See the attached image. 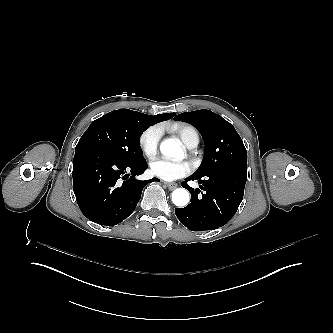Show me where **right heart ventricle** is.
Segmentation results:
<instances>
[{
	"label": "right heart ventricle",
	"mask_w": 333,
	"mask_h": 333,
	"mask_svg": "<svg viewBox=\"0 0 333 333\" xmlns=\"http://www.w3.org/2000/svg\"><path fill=\"white\" fill-rule=\"evenodd\" d=\"M159 133H162V129H159ZM177 136L181 138L184 144L189 147L190 143L193 140L199 141V136L197 131L191 126H183L177 129L176 131Z\"/></svg>",
	"instance_id": "obj_1"
}]
</instances>
